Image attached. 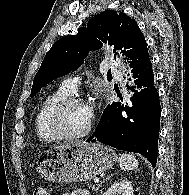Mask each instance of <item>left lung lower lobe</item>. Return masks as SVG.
<instances>
[{"mask_svg": "<svg viewBox=\"0 0 189 195\" xmlns=\"http://www.w3.org/2000/svg\"><path fill=\"white\" fill-rule=\"evenodd\" d=\"M127 76L133 84L127 85L132 91L129 99L113 102L105 108L96 131L87 142L99 141L140 153L155 167L161 106L150 59L132 68Z\"/></svg>", "mask_w": 189, "mask_h": 195, "instance_id": "left-lung-lower-lobe-1", "label": "left lung lower lobe"}]
</instances>
